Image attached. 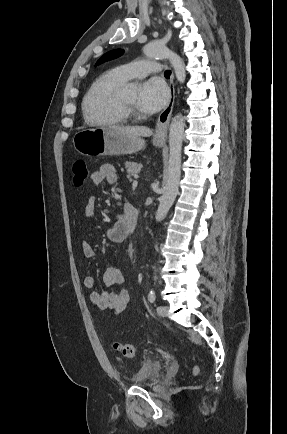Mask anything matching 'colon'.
<instances>
[{
	"instance_id": "5ec220e1",
	"label": "colon",
	"mask_w": 287,
	"mask_h": 434,
	"mask_svg": "<svg viewBox=\"0 0 287 434\" xmlns=\"http://www.w3.org/2000/svg\"><path fill=\"white\" fill-rule=\"evenodd\" d=\"M73 171V185L81 187L88 177V168L83 160H76L72 165ZM115 351L121 353L127 358H133L136 356V347L132 344H125L121 342H115L113 345ZM199 367L197 365L192 366V374L198 375Z\"/></svg>"
}]
</instances>
